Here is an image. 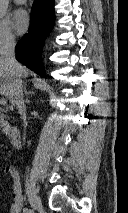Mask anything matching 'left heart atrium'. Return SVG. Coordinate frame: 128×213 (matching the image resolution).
Masks as SVG:
<instances>
[{
	"mask_svg": "<svg viewBox=\"0 0 128 213\" xmlns=\"http://www.w3.org/2000/svg\"><path fill=\"white\" fill-rule=\"evenodd\" d=\"M13 27L18 34H23L27 31L30 25V16L26 10L18 9L13 14Z\"/></svg>",
	"mask_w": 128,
	"mask_h": 213,
	"instance_id": "1",
	"label": "left heart atrium"
}]
</instances>
